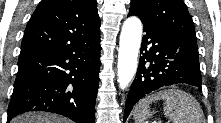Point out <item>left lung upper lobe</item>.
Listing matches in <instances>:
<instances>
[{
	"mask_svg": "<svg viewBox=\"0 0 221 123\" xmlns=\"http://www.w3.org/2000/svg\"><path fill=\"white\" fill-rule=\"evenodd\" d=\"M130 10L153 25L197 43L193 21L183 0H131Z\"/></svg>",
	"mask_w": 221,
	"mask_h": 123,
	"instance_id": "5c2ea615",
	"label": "left lung upper lobe"
}]
</instances>
